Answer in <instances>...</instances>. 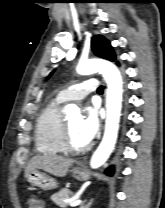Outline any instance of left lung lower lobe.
<instances>
[{
	"mask_svg": "<svg viewBox=\"0 0 165 208\" xmlns=\"http://www.w3.org/2000/svg\"><path fill=\"white\" fill-rule=\"evenodd\" d=\"M105 172H106V174H108V175H111V176H112V175H113V173H114V167H112V166H111V167H109V168H108Z\"/></svg>",
	"mask_w": 165,
	"mask_h": 208,
	"instance_id": "0a47b994",
	"label": "left lung lower lobe"
}]
</instances>
